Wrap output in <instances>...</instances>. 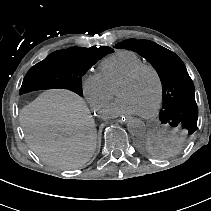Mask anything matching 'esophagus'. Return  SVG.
I'll list each match as a JSON object with an SVG mask.
<instances>
[{
	"instance_id": "1",
	"label": "esophagus",
	"mask_w": 211,
	"mask_h": 211,
	"mask_svg": "<svg viewBox=\"0 0 211 211\" xmlns=\"http://www.w3.org/2000/svg\"><path fill=\"white\" fill-rule=\"evenodd\" d=\"M126 117H127L126 114L123 113V114H121V115H118V116L116 115V116H114L113 119H114V121H116V122H117V121H118V122H121L122 120L126 119Z\"/></svg>"
}]
</instances>
